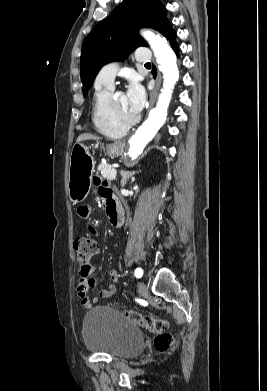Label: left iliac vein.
I'll use <instances>...</instances> for the list:
<instances>
[{
	"label": "left iliac vein",
	"instance_id": "obj_1",
	"mask_svg": "<svg viewBox=\"0 0 267 391\" xmlns=\"http://www.w3.org/2000/svg\"><path fill=\"white\" fill-rule=\"evenodd\" d=\"M138 289H139V293L141 295H144L147 292V285L144 282H139Z\"/></svg>",
	"mask_w": 267,
	"mask_h": 391
}]
</instances>
